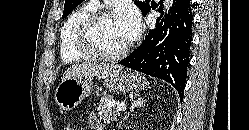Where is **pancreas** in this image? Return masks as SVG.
I'll return each mask as SVG.
<instances>
[{"instance_id": "cf45deb5", "label": "pancreas", "mask_w": 249, "mask_h": 130, "mask_svg": "<svg viewBox=\"0 0 249 130\" xmlns=\"http://www.w3.org/2000/svg\"><path fill=\"white\" fill-rule=\"evenodd\" d=\"M113 101L114 100L112 97L104 96L100 100V105L97 108L100 120H102L107 124L113 121L117 116V111H116L117 104H114Z\"/></svg>"}]
</instances>
